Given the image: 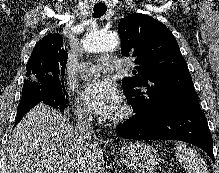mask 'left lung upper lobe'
I'll list each match as a JSON object with an SVG mask.
<instances>
[{"instance_id":"1","label":"left lung upper lobe","mask_w":219,"mask_h":173,"mask_svg":"<svg viewBox=\"0 0 219 173\" xmlns=\"http://www.w3.org/2000/svg\"><path fill=\"white\" fill-rule=\"evenodd\" d=\"M118 30L122 54L137 65L134 76L122 80L135 117L150 119L171 106L198 101L178 43L165 25L137 13L123 18Z\"/></svg>"}]
</instances>
